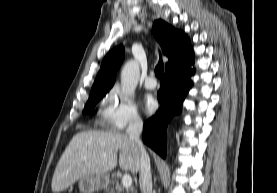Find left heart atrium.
<instances>
[{"instance_id":"left-heart-atrium-1","label":"left heart atrium","mask_w":277,"mask_h":193,"mask_svg":"<svg viewBox=\"0 0 277 193\" xmlns=\"http://www.w3.org/2000/svg\"><path fill=\"white\" fill-rule=\"evenodd\" d=\"M144 107L147 113H153L157 108V101L151 95H146L143 100Z\"/></svg>"}]
</instances>
